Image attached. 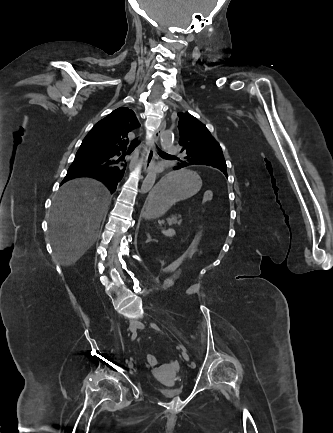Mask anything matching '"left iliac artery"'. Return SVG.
<instances>
[{"label": "left iliac artery", "instance_id": "obj_1", "mask_svg": "<svg viewBox=\"0 0 333 433\" xmlns=\"http://www.w3.org/2000/svg\"><path fill=\"white\" fill-rule=\"evenodd\" d=\"M150 325H151V327H152L154 330H156V331H161L160 328H159L155 323H150ZM179 347H180L183 351H186V348H185L182 344H179Z\"/></svg>", "mask_w": 333, "mask_h": 433}]
</instances>
